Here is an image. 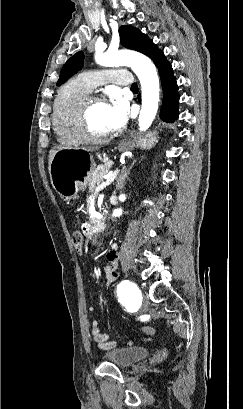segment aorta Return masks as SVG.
Listing matches in <instances>:
<instances>
[{"instance_id":"762f6f07","label":"aorta","mask_w":243,"mask_h":409,"mask_svg":"<svg viewBox=\"0 0 243 409\" xmlns=\"http://www.w3.org/2000/svg\"><path fill=\"white\" fill-rule=\"evenodd\" d=\"M95 60L99 65L106 67L129 66L137 75L142 90V108L138 120L139 130H147L155 119L159 103V78L155 65L145 55L130 51L97 53ZM122 212L121 208H115L112 216L120 217Z\"/></svg>"}]
</instances>
